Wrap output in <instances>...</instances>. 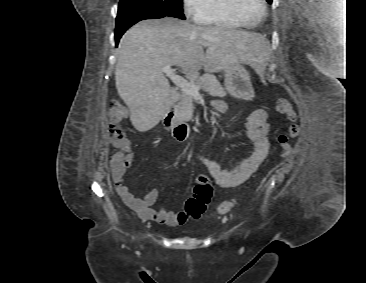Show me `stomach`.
Instances as JSON below:
<instances>
[{"mask_svg":"<svg viewBox=\"0 0 366 283\" xmlns=\"http://www.w3.org/2000/svg\"><path fill=\"white\" fill-rule=\"evenodd\" d=\"M225 87L228 93L237 97L241 93V84L245 82L250 86L248 72L243 68L241 63L227 67L225 70Z\"/></svg>","mask_w":366,"mask_h":283,"instance_id":"0dacf381","label":"stomach"}]
</instances>
